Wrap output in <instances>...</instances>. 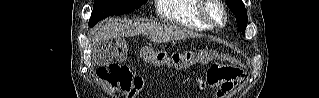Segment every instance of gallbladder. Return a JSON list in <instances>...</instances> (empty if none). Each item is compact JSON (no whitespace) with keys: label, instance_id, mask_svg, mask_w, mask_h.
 <instances>
[{"label":"gallbladder","instance_id":"obj_1","mask_svg":"<svg viewBox=\"0 0 319 98\" xmlns=\"http://www.w3.org/2000/svg\"><path fill=\"white\" fill-rule=\"evenodd\" d=\"M113 48L108 42L105 45H97L93 50V58L95 63L99 65L108 64L113 58Z\"/></svg>","mask_w":319,"mask_h":98}]
</instances>
